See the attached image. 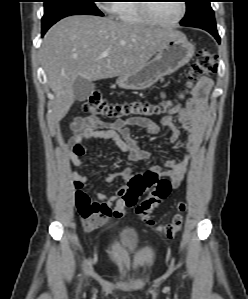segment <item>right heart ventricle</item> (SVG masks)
Returning <instances> with one entry per match:
<instances>
[{"instance_id":"1","label":"right heart ventricle","mask_w":248,"mask_h":299,"mask_svg":"<svg viewBox=\"0 0 248 299\" xmlns=\"http://www.w3.org/2000/svg\"><path fill=\"white\" fill-rule=\"evenodd\" d=\"M131 1L123 0L111 5L112 14L123 24L132 26H147L151 22L147 20L140 9V5Z\"/></svg>"}]
</instances>
